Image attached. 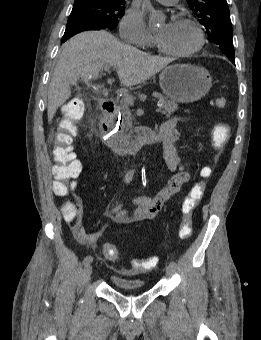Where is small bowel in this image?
I'll return each instance as SVG.
<instances>
[{
    "mask_svg": "<svg viewBox=\"0 0 261 340\" xmlns=\"http://www.w3.org/2000/svg\"><path fill=\"white\" fill-rule=\"evenodd\" d=\"M158 134L161 138L163 147V158L168 168L173 172L172 177L167 185L161 189L155 196H141L136 200L137 207L132 214L126 210H118L113 212L111 218L118 222L140 221L153 219L162 209L163 205L170 199L174 198L182 189V187L189 182L190 174L180 165L175 143L179 138V130L176 126L175 120L165 122ZM134 175V171L130 170L125 175V182L129 183ZM75 213L68 216L63 213L64 219L70 223L71 230L76 239L83 245L94 247L105 232L104 227H99L93 233H87L82 224V208L79 202L74 204Z\"/></svg>",
    "mask_w": 261,
    "mask_h": 340,
    "instance_id": "obj_1",
    "label": "small bowel"
}]
</instances>
